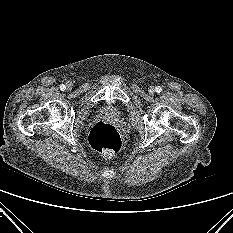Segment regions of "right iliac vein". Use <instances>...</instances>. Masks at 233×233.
<instances>
[{
	"instance_id": "63e3f726",
	"label": "right iliac vein",
	"mask_w": 233,
	"mask_h": 233,
	"mask_svg": "<svg viewBox=\"0 0 233 233\" xmlns=\"http://www.w3.org/2000/svg\"><path fill=\"white\" fill-rule=\"evenodd\" d=\"M66 85H67V89H68V90H70V89L72 88V86H73L71 82H67Z\"/></svg>"
}]
</instances>
